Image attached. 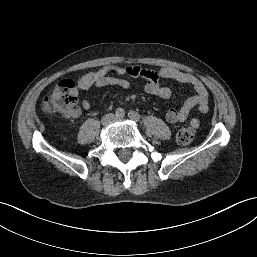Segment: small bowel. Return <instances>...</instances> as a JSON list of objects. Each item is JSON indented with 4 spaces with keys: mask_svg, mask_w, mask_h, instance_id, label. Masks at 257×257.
<instances>
[{
    "mask_svg": "<svg viewBox=\"0 0 257 257\" xmlns=\"http://www.w3.org/2000/svg\"><path fill=\"white\" fill-rule=\"evenodd\" d=\"M127 78H142L144 80L145 92L163 99H169L172 95L171 88L163 82L165 80H175L192 87L194 95L187 98L181 107H171L166 111L165 118L170 124L185 122L191 110L195 107L198 108L201 114H206L209 110V94L204 83L195 75L172 67L155 70L145 66H104L81 76L76 83V93L107 86H118L122 89H128L130 81ZM92 106L93 102L91 100L84 99L81 101V107H77L74 112L66 115L68 118L76 119L81 115V109L89 110ZM190 125L198 128L200 120L194 117L190 120Z\"/></svg>",
    "mask_w": 257,
    "mask_h": 257,
    "instance_id": "obj_1",
    "label": "small bowel"
}]
</instances>
